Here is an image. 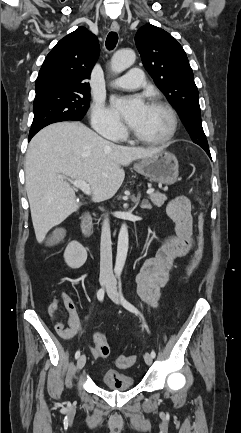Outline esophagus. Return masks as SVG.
<instances>
[{"label":"esophagus","mask_w":241,"mask_h":433,"mask_svg":"<svg viewBox=\"0 0 241 433\" xmlns=\"http://www.w3.org/2000/svg\"><path fill=\"white\" fill-rule=\"evenodd\" d=\"M119 24L117 22H112L111 24V30L112 31H119Z\"/></svg>","instance_id":"esophagus-1"}]
</instances>
